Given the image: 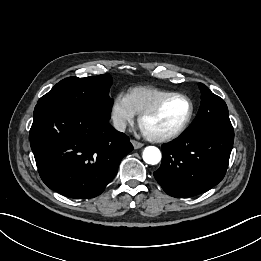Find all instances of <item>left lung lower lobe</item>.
Returning a JSON list of instances; mask_svg holds the SVG:
<instances>
[{"mask_svg":"<svg viewBox=\"0 0 261 261\" xmlns=\"http://www.w3.org/2000/svg\"><path fill=\"white\" fill-rule=\"evenodd\" d=\"M233 142L232 125L184 132L162 146V163L154 177L176 198L206 192L225 176Z\"/></svg>","mask_w":261,"mask_h":261,"instance_id":"1","label":"left lung lower lobe"}]
</instances>
